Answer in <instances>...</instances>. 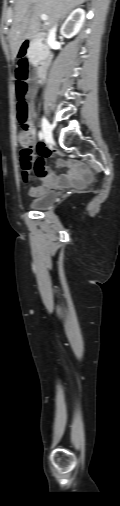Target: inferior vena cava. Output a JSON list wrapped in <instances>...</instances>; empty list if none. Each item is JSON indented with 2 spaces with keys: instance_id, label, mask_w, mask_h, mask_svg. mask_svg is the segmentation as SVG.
<instances>
[{
  "instance_id": "602c4592",
  "label": "inferior vena cava",
  "mask_w": 120,
  "mask_h": 506,
  "mask_svg": "<svg viewBox=\"0 0 120 506\" xmlns=\"http://www.w3.org/2000/svg\"><path fill=\"white\" fill-rule=\"evenodd\" d=\"M56 37V26L49 30L47 42L50 46L53 45Z\"/></svg>"
}]
</instances>
